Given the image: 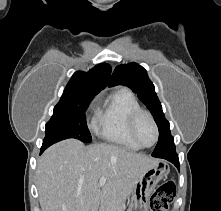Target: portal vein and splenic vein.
Returning <instances> with one entry per match:
<instances>
[{
  "instance_id": "18ae733b",
  "label": "portal vein and splenic vein",
  "mask_w": 221,
  "mask_h": 211,
  "mask_svg": "<svg viewBox=\"0 0 221 211\" xmlns=\"http://www.w3.org/2000/svg\"><path fill=\"white\" fill-rule=\"evenodd\" d=\"M105 182H106V178L101 177L100 180H99V186L100 187L104 186Z\"/></svg>"
}]
</instances>
